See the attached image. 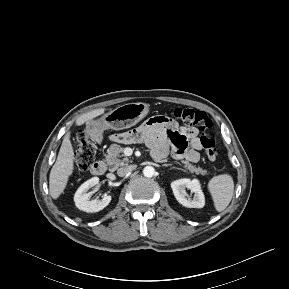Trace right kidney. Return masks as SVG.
I'll use <instances>...</instances> for the list:
<instances>
[{"mask_svg": "<svg viewBox=\"0 0 289 289\" xmlns=\"http://www.w3.org/2000/svg\"><path fill=\"white\" fill-rule=\"evenodd\" d=\"M99 178L93 177L86 182H84L76 191L74 195V202L76 207L79 210L93 213V212H99L100 210L104 209L111 201L110 195H104L101 200H91L89 201L90 193L88 190L90 188H93L94 186L98 185Z\"/></svg>", "mask_w": 289, "mask_h": 289, "instance_id": "right-kidney-1", "label": "right kidney"}]
</instances>
